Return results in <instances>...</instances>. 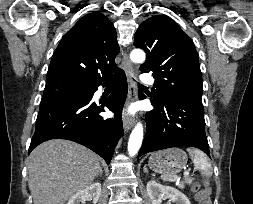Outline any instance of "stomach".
Returning a JSON list of instances; mask_svg holds the SVG:
<instances>
[{"label":"stomach","instance_id":"stomach-1","mask_svg":"<svg viewBox=\"0 0 253 204\" xmlns=\"http://www.w3.org/2000/svg\"><path fill=\"white\" fill-rule=\"evenodd\" d=\"M186 153L179 148H171L151 154L149 168L162 175L179 173L187 164Z\"/></svg>","mask_w":253,"mask_h":204}]
</instances>
